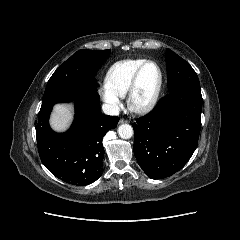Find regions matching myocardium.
I'll use <instances>...</instances> for the list:
<instances>
[{"label": "myocardium", "mask_w": 240, "mask_h": 240, "mask_svg": "<svg viewBox=\"0 0 240 240\" xmlns=\"http://www.w3.org/2000/svg\"><path fill=\"white\" fill-rule=\"evenodd\" d=\"M149 64H152L157 68V71H158L157 85H156L152 95L150 96V98L145 102L139 103L135 99V94H136V91L138 88V83H139L141 73H142L143 69ZM162 87H163V71L161 69V66L153 60L144 61L137 68L135 73L133 74L132 79L129 84V87H128L126 97H127V104L129 106L130 110L135 113H138V114H145V113H148L149 111H151L158 102Z\"/></svg>", "instance_id": "f54148a6"}]
</instances>
